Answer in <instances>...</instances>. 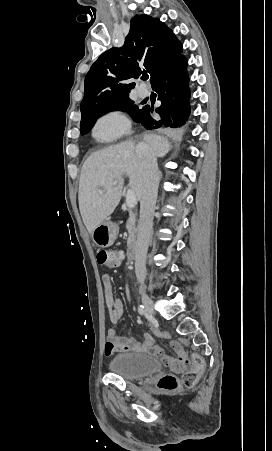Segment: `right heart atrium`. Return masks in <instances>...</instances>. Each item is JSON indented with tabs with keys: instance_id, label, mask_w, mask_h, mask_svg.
<instances>
[{
	"instance_id": "d8ad5b80",
	"label": "right heart atrium",
	"mask_w": 272,
	"mask_h": 451,
	"mask_svg": "<svg viewBox=\"0 0 272 451\" xmlns=\"http://www.w3.org/2000/svg\"><path fill=\"white\" fill-rule=\"evenodd\" d=\"M128 126L127 119L118 112L103 116L94 128V135L98 139H106L122 134Z\"/></svg>"
}]
</instances>
